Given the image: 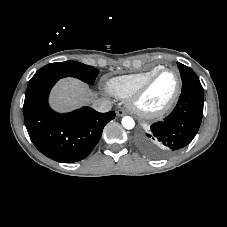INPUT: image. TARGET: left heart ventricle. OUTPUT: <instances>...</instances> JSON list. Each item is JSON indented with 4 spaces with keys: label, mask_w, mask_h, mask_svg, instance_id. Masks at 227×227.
Returning a JSON list of instances; mask_svg holds the SVG:
<instances>
[{
    "label": "left heart ventricle",
    "mask_w": 227,
    "mask_h": 227,
    "mask_svg": "<svg viewBox=\"0 0 227 227\" xmlns=\"http://www.w3.org/2000/svg\"><path fill=\"white\" fill-rule=\"evenodd\" d=\"M177 85V77L173 71L160 74L142 97L140 106L155 110L164 106L172 97Z\"/></svg>",
    "instance_id": "b2bd125f"
}]
</instances>
